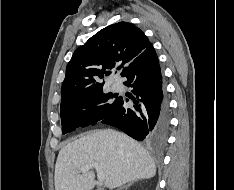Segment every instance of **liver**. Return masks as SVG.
I'll return each instance as SVG.
<instances>
[{
    "label": "liver",
    "instance_id": "obj_1",
    "mask_svg": "<svg viewBox=\"0 0 234 190\" xmlns=\"http://www.w3.org/2000/svg\"><path fill=\"white\" fill-rule=\"evenodd\" d=\"M94 163L104 172L109 189L156 174L152 157L135 140L112 129L96 130L60 150L55 166V190H92L94 172L78 171Z\"/></svg>",
    "mask_w": 234,
    "mask_h": 190
}]
</instances>
